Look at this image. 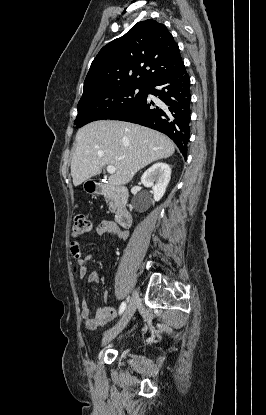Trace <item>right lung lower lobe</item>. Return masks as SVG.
Listing matches in <instances>:
<instances>
[{"instance_id":"right-lung-lower-lobe-1","label":"right lung lower lobe","mask_w":266,"mask_h":415,"mask_svg":"<svg viewBox=\"0 0 266 415\" xmlns=\"http://www.w3.org/2000/svg\"><path fill=\"white\" fill-rule=\"evenodd\" d=\"M148 94L158 97L161 102L155 105L153 101L147 100ZM190 103V78L183 65L176 72L152 82L141 102L110 119L140 124L166 134L186 159L190 137Z\"/></svg>"}]
</instances>
